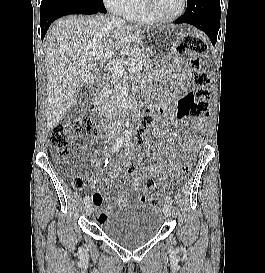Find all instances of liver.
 Masks as SVG:
<instances>
[{"label":"liver","mask_w":265,"mask_h":273,"mask_svg":"<svg viewBox=\"0 0 265 273\" xmlns=\"http://www.w3.org/2000/svg\"><path fill=\"white\" fill-rule=\"evenodd\" d=\"M143 31L138 25L112 23L102 15H70L50 27L44 43L48 130L76 103L79 90L93 83L97 70L93 57L100 54L105 62L121 56Z\"/></svg>","instance_id":"obj_1"}]
</instances>
